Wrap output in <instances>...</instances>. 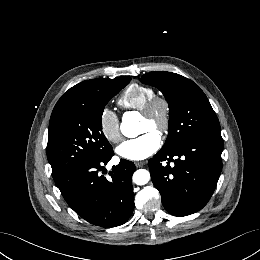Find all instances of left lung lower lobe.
Masks as SVG:
<instances>
[{
    "label": "left lung lower lobe",
    "mask_w": 260,
    "mask_h": 260,
    "mask_svg": "<svg viewBox=\"0 0 260 260\" xmlns=\"http://www.w3.org/2000/svg\"><path fill=\"white\" fill-rule=\"evenodd\" d=\"M222 149L221 135H205L161 148L149 160L152 182L170 214L186 216L206 205L222 170Z\"/></svg>",
    "instance_id": "left-lung-lower-lobe-1"
}]
</instances>
